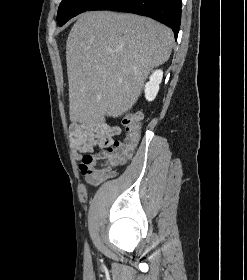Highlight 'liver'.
Returning a JSON list of instances; mask_svg holds the SVG:
<instances>
[{"mask_svg": "<svg viewBox=\"0 0 247 280\" xmlns=\"http://www.w3.org/2000/svg\"><path fill=\"white\" fill-rule=\"evenodd\" d=\"M173 40L170 28L148 17L81 14L66 42L70 120L92 126L131 109L150 71L169 59Z\"/></svg>", "mask_w": 247, "mask_h": 280, "instance_id": "liver-1", "label": "liver"}]
</instances>
